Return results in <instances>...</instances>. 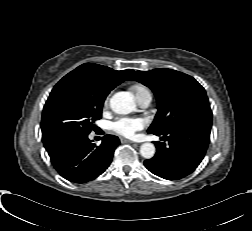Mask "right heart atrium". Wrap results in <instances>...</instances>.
Returning a JSON list of instances; mask_svg holds the SVG:
<instances>
[{
    "label": "right heart atrium",
    "instance_id": "right-heart-atrium-1",
    "mask_svg": "<svg viewBox=\"0 0 252 231\" xmlns=\"http://www.w3.org/2000/svg\"><path fill=\"white\" fill-rule=\"evenodd\" d=\"M103 105H104L105 108L108 107V105H109V96H107L105 98Z\"/></svg>",
    "mask_w": 252,
    "mask_h": 231
}]
</instances>
